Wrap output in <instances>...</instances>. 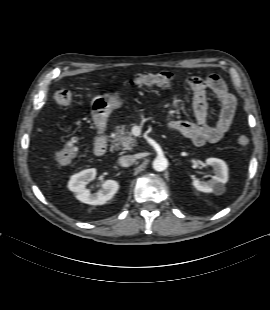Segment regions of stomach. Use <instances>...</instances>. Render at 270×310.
Masks as SVG:
<instances>
[{
  "instance_id": "stomach-1",
  "label": "stomach",
  "mask_w": 270,
  "mask_h": 310,
  "mask_svg": "<svg viewBox=\"0 0 270 310\" xmlns=\"http://www.w3.org/2000/svg\"><path fill=\"white\" fill-rule=\"evenodd\" d=\"M120 95L121 93L116 91L110 94L99 95L92 99L91 115L97 127L105 125L112 111L122 106L123 100Z\"/></svg>"
}]
</instances>
